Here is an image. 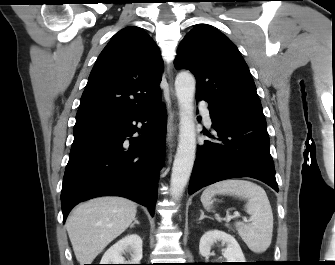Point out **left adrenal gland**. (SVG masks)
Segmentation results:
<instances>
[{
	"label": "left adrenal gland",
	"instance_id": "a2214340",
	"mask_svg": "<svg viewBox=\"0 0 335 265\" xmlns=\"http://www.w3.org/2000/svg\"><path fill=\"white\" fill-rule=\"evenodd\" d=\"M200 212H201V215H200L199 220H202L203 218H207V217H208V216H206V215L204 214L203 210H200Z\"/></svg>",
	"mask_w": 335,
	"mask_h": 265
}]
</instances>
